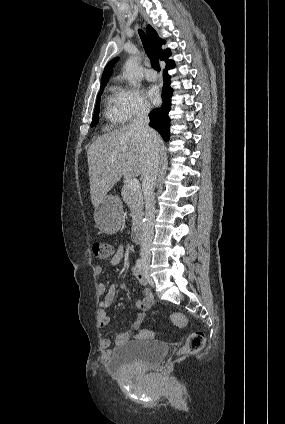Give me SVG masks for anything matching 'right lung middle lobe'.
Returning <instances> with one entry per match:
<instances>
[{
	"label": "right lung middle lobe",
	"instance_id": "right-lung-middle-lobe-1",
	"mask_svg": "<svg viewBox=\"0 0 285 424\" xmlns=\"http://www.w3.org/2000/svg\"><path fill=\"white\" fill-rule=\"evenodd\" d=\"M103 88L104 87H101L100 92H99L98 97H97V102H96V107H95V112H94V115H93V120H92V123H91V127L94 126V125H96L98 123V119H99V107H100V96H101V94L103 92Z\"/></svg>",
	"mask_w": 285,
	"mask_h": 424
}]
</instances>
